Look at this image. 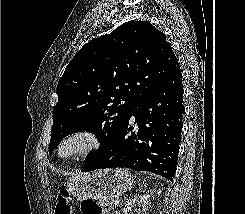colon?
<instances>
[{"label":"colon","mask_w":245,"mask_h":214,"mask_svg":"<svg viewBox=\"0 0 245 214\" xmlns=\"http://www.w3.org/2000/svg\"><path fill=\"white\" fill-rule=\"evenodd\" d=\"M82 214H105V208L93 199H85L81 203ZM55 214H72L70 194L63 190L56 199Z\"/></svg>","instance_id":"obj_1"}]
</instances>
